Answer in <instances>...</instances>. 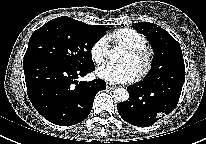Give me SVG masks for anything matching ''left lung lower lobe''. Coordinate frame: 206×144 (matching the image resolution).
<instances>
[{"mask_svg": "<svg viewBox=\"0 0 206 144\" xmlns=\"http://www.w3.org/2000/svg\"><path fill=\"white\" fill-rule=\"evenodd\" d=\"M185 72L166 76L160 82L144 85L141 82L127 87L129 100L117 105L119 115L131 125L149 127L161 116L171 113L177 106Z\"/></svg>", "mask_w": 206, "mask_h": 144, "instance_id": "0a47b994", "label": "left lung lower lobe"}]
</instances>
